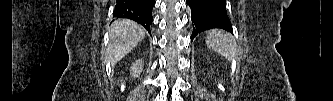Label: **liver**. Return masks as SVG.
Wrapping results in <instances>:
<instances>
[{
  "mask_svg": "<svg viewBox=\"0 0 333 101\" xmlns=\"http://www.w3.org/2000/svg\"><path fill=\"white\" fill-rule=\"evenodd\" d=\"M109 37L106 58L115 64L145 38V29L132 20L118 19L112 24Z\"/></svg>",
  "mask_w": 333,
  "mask_h": 101,
  "instance_id": "6515ba94",
  "label": "liver"
}]
</instances>
